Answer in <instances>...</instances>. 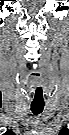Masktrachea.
Instances as JSON below:
<instances>
[{"mask_svg": "<svg viewBox=\"0 0 69 135\" xmlns=\"http://www.w3.org/2000/svg\"><path fill=\"white\" fill-rule=\"evenodd\" d=\"M44 109V103H32L31 104V110L33 114L38 115L40 114Z\"/></svg>", "mask_w": 69, "mask_h": 135, "instance_id": "obj_1", "label": "trachea"}]
</instances>
